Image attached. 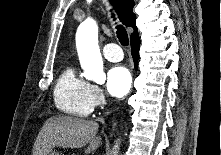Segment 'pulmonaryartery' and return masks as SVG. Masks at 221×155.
<instances>
[{"mask_svg": "<svg viewBox=\"0 0 221 155\" xmlns=\"http://www.w3.org/2000/svg\"><path fill=\"white\" fill-rule=\"evenodd\" d=\"M103 55L106 59L112 62H118L123 58L122 50L116 43L105 45L103 48Z\"/></svg>", "mask_w": 221, "mask_h": 155, "instance_id": "obj_1", "label": "pulmonary artery"}]
</instances>
